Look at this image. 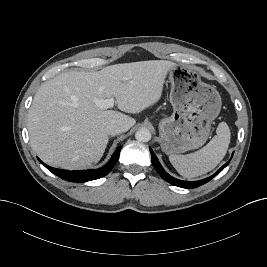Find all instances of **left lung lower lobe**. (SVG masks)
I'll list each match as a JSON object with an SVG mask.
<instances>
[{"mask_svg": "<svg viewBox=\"0 0 267 267\" xmlns=\"http://www.w3.org/2000/svg\"><path fill=\"white\" fill-rule=\"evenodd\" d=\"M150 153H151V160H152V164L155 168V170L158 172V174L167 182H169L172 185L175 186H179V187H183V188H197L205 183H207L208 181H210L214 176H216L218 173H220L228 164L229 161L227 163H225L215 174H213L212 176L199 180V181H182L179 179H176L172 176H170L161 166L160 162L158 161V158L156 157V155L153 153V150L150 148Z\"/></svg>", "mask_w": 267, "mask_h": 267, "instance_id": "obj_1", "label": "left lung lower lobe"}]
</instances>
